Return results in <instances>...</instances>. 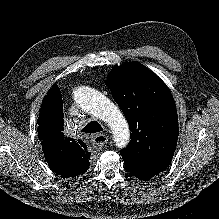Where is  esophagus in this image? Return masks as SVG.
<instances>
[{
  "label": "esophagus",
  "mask_w": 219,
  "mask_h": 219,
  "mask_svg": "<svg viewBox=\"0 0 219 219\" xmlns=\"http://www.w3.org/2000/svg\"><path fill=\"white\" fill-rule=\"evenodd\" d=\"M108 141V136L105 134H97L92 139V145L95 148L103 147Z\"/></svg>",
  "instance_id": "1"
}]
</instances>
